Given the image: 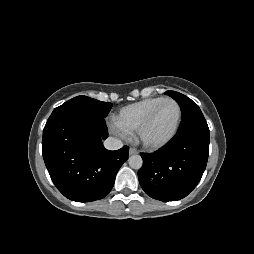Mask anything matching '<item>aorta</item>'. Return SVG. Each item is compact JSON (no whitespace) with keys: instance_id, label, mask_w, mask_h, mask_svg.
I'll return each mask as SVG.
<instances>
[{"instance_id":"obj_1","label":"aorta","mask_w":254,"mask_h":254,"mask_svg":"<svg viewBox=\"0 0 254 254\" xmlns=\"http://www.w3.org/2000/svg\"><path fill=\"white\" fill-rule=\"evenodd\" d=\"M129 166L133 169H140L143 164V160L140 155H132L128 159Z\"/></svg>"}]
</instances>
